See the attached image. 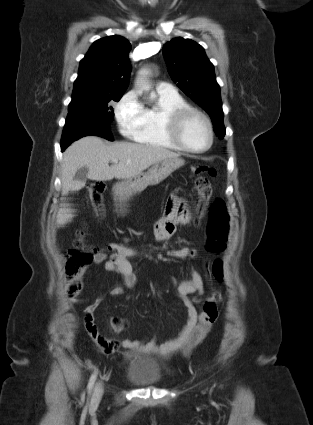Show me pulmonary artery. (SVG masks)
Here are the masks:
<instances>
[{"label": "pulmonary artery", "instance_id": "obj_1", "mask_svg": "<svg viewBox=\"0 0 313 425\" xmlns=\"http://www.w3.org/2000/svg\"><path fill=\"white\" fill-rule=\"evenodd\" d=\"M157 90L161 91V92H165V93H175L176 90L175 88L166 82H159L157 85Z\"/></svg>", "mask_w": 313, "mask_h": 425}]
</instances>
